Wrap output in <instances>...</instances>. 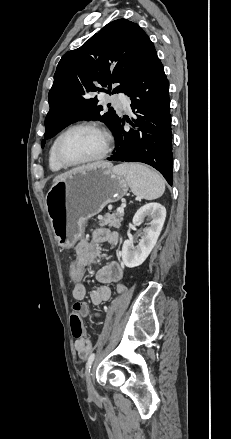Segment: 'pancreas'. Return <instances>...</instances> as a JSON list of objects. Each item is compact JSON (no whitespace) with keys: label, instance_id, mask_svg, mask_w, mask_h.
<instances>
[{"label":"pancreas","instance_id":"1","mask_svg":"<svg viewBox=\"0 0 231 439\" xmlns=\"http://www.w3.org/2000/svg\"><path fill=\"white\" fill-rule=\"evenodd\" d=\"M123 216V213L105 214L104 217L99 220L98 224L99 226L120 228Z\"/></svg>","mask_w":231,"mask_h":439}]
</instances>
